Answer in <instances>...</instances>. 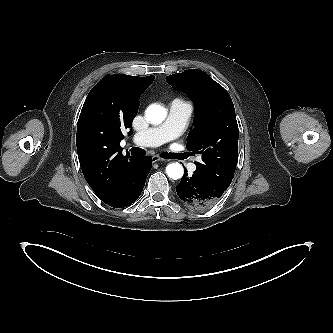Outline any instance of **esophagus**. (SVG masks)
Segmentation results:
<instances>
[{"mask_svg": "<svg viewBox=\"0 0 333 333\" xmlns=\"http://www.w3.org/2000/svg\"><path fill=\"white\" fill-rule=\"evenodd\" d=\"M158 161H164V159L157 156V155H153L152 156V162L154 163V162H158Z\"/></svg>", "mask_w": 333, "mask_h": 333, "instance_id": "obj_1", "label": "esophagus"}]
</instances>
